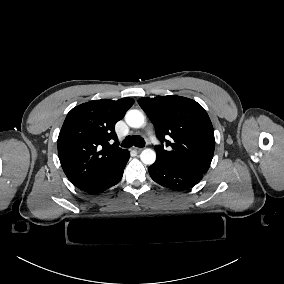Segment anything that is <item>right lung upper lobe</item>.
Wrapping results in <instances>:
<instances>
[{"instance_id": "right-lung-upper-lobe-1", "label": "right lung upper lobe", "mask_w": 284, "mask_h": 284, "mask_svg": "<svg viewBox=\"0 0 284 284\" xmlns=\"http://www.w3.org/2000/svg\"><path fill=\"white\" fill-rule=\"evenodd\" d=\"M133 103L131 98L93 100L67 114L57 140L58 156L77 188L85 190L99 181L128 153L118 147L114 126Z\"/></svg>"}]
</instances>
